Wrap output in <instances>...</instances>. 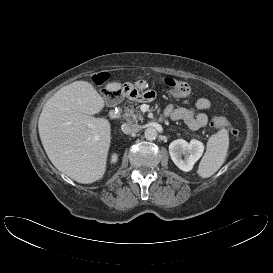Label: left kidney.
Wrapping results in <instances>:
<instances>
[{"label":"left kidney","instance_id":"1","mask_svg":"<svg viewBox=\"0 0 273 273\" xmlns=\"http://www.w3.org/2000/svg\"><path fill=\"white\" fill-rule=\"evenodd\" d=\"M203 151V143L195 139H192L189 143L183 139H177L169 145V154L172 161L185 172L192 170L194 164L202 156Z\"/></svg>","mask_w":273,"mask_h":273}]
</instances>
